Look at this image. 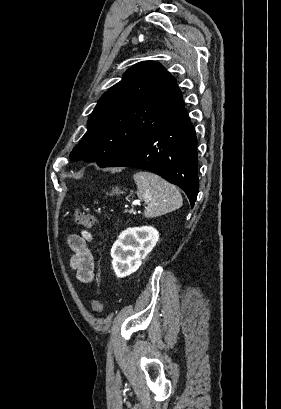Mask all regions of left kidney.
<instances>
[{"label": "left kidney", "instance_id": "obj_1", "mask_svg": "<svg viewBox=\"0 0 281 409\" xmlns=\"http://www.w3.org/2000/svg\"><path fill=\"white\" fill-rule=\"evenodd\" d=\"M158 239L159 233L154 227H132L122 231L110 253L115 275L128 277L138 271Z\"/></svg>", "mask_w": 281, "mask_h": 409}]
</instances>
